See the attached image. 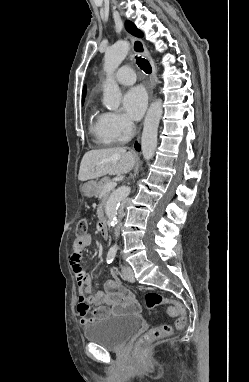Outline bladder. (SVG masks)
<instances>
[{
    "label": "bladder",
    "mask_w": 249,
    "mask_h": 382,
    "mask_svg": "<svg viewBox=\"0 0 249 382\" xmlns=\"http://www.w3.org/2000/svg\"><path fill=\"white\" fill-rule=\"evenodd\" d=\"M142 325L143 320L136 315H120L93 322L85 327L83 335L88 342L98 344L106 350L118 351Z\"/></svg>",
    "instance_id": "31cf9c89"
}]
</instances>
